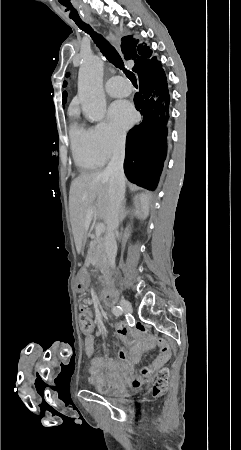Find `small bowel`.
<instances>
[{
    "label": "small bowel",
    "instance_id": "obj_1",
    "mask_svg": "<svg viewBox=\"0 0 241 450\" xmlns=\"http://www.w3.org/2000/svg\"><path fill=\"white\" fill-rule=\"evenodd\" d=\"M84 288L85 285L79 283L78 289L83 291ZM81 309V316H92V312L86 306H83ZM116 333L121 341V346L118 350V360L104 356L94 357V335L93 333H83L84 350L90 358L88 372L91 376V382L100 390L110 389L121 384L137 389L147 377L168 361L170 350L163 339L155 341L147 338L145 336L146 329L142 324H137L135 328H130L126 324L119 323L116 327ZM155 343L160 349L159 356L152 363L144 366L139 374H135L134 368L139 361L142 351Z\"/></svg>",
    "mask_w": 241,
    "mask_h": 450
}]
</instances>
